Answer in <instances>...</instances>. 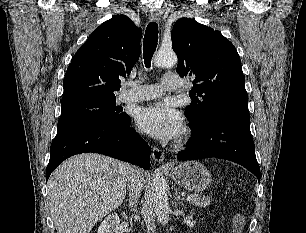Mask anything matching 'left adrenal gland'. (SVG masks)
<instances>
[{"mask_svg": "<svg viewBox=\"0 0 306 233\" xmlns=\"http://www.w3.org/2000/svg\"><path fill=\"white\" fill-rule=\"evenodd\" d=\"M174 201H175V203L178 202V201H181V202L184 201V198H182V197L179 195L178 188H175Z\"/></svg>", "mask_w": 306, "mask_h": 233, "instance_id": "a2214340", "label": "left adrenal gland"}]
</instances>
